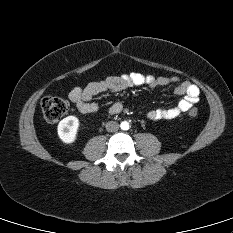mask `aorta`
<instances>
[{"instance_id":"1","label":"aorta","mask_w":233,"mask_h":233,"mask_svg":"<svg viewBox=\"0 0 233 233\" xmlns=\"http://www.w3.org/2000/svg\"><path fill=\"white\" fill-rule=\"evenodd\" d=\"M120 127L122 130H128L129 129V123L127 121H123L121 124H120Z\"/></svg>"}]
</instances>
